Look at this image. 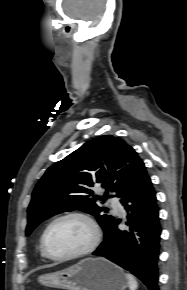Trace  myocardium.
Masks as SVG:
<instances>
[{"label":"myocardium","mask_w":187,"mask_h":290,"mask_svg":"<svg viewBox=\"0 0 187 290\" xmlns=\"http://www.w3.org/2000/svg\"><path fill=\"white\" fill-rule=\"evenodd\" d=\"M68 218H77V219L84 221L88 225V227L91 231V235H92L91 241L84 249H82L80 251H77V252H74L71 254H67V255H62V256L53 255L50 252L49 247H48L49 232H50L51 228L56 223H58L62 220L68 219ZM100 240H101V231H100V228H99L96 220L90 214H88L84 211L75 210V211H68V212H65L63 214H60L49 222V224L45 228L43 235L41 237V246H42V250L47 258H49L53 261H66V260H72V259L84 257V256L91 254L98 247Z\"/></svg>","instance_id":"1"}]
</instances>
